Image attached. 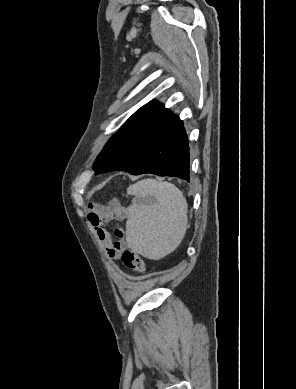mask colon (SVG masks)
I'll use <instances>...</instances> for the list:
<instances>
[{
    "label": "colon",
    "mask_w": 296,
    "mask_h": 389,
    "mask_svg": "<svg viewBox=\"0 0 296 389\" xmlns=\"http://www.w3.org/2000/svg\"><path fill=\"white\" fill-rule=\"evenodd\" d=\"M122 262L127 268L140 274H144L147 270L146 265L141 256L137 252L132 250H126L123 252Z\"/></svg>",
    "instance_id": "colon-1"
}]
</instances>
